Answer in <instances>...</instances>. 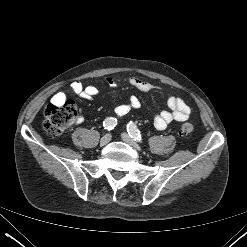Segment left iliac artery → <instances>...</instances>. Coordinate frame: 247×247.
I'll return each mask as SVG.
<instances>
[{"instance_id": "1", "label": "left iliac artery", "mask_w": 247, "mask_h": 247, "mask_svg": "<svg viewBox=\"0 0 247 247\" xmlns=\"http://www.w3.org/2000/svg\"><path fill=\"white\" fill-rule=\"evenodd\" d=\"M127 131L130 137L134 138L137 142H142L140 131L138 130L137 126L133 122H129L127 124Z\"/></svg>"}]
</instances>
